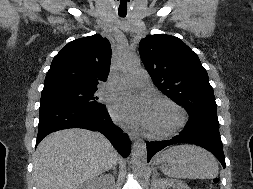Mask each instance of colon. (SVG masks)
Segmentation results:
<instances>
[{"instance_id":"5ec220e1","label":"colon","mask_w":253,"mask_h":189,"mask_svg":"<svg viewBox=\"0 0 253 189\" xmlns=\"http://www.w3.org/2000/svg\"><path fill=\"white\" fill-rule=\"evenodd\" d=\"M204 189H210V187L208 186V187H206V188H204Z\"/></svg>"}]
</instances>
